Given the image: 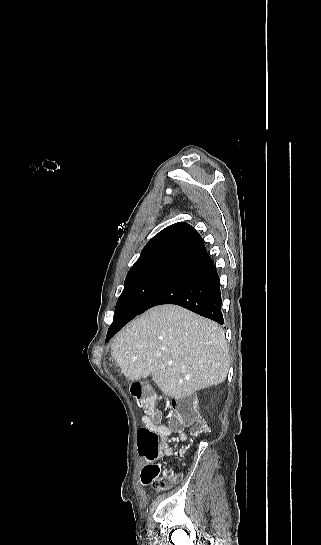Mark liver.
I'll list each match as a JSON object with an SVG mask.
<instances>
[{
  "instance_id": "obj_1",
  "label": "liver",
  "mask_w": 321,
  "mask_h": 545,
  "mask_svg": "<svg viewBox=\"0 0 321 545\" xmlns=\"http://www.w3.org/2000/svg\"><path fill=\"white\" fill-rule=\"evenodd\" d=\"M129 381L152 375L160 391L185 399L225 381L230 355L217 323L178 305H159L131 321L111 345Z\"/></svg>"
}]
</instances>
